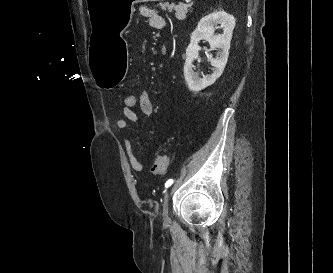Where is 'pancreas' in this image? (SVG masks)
<instances>
[{"label":"pancreas","mask_w":333,"mask_h":273,"mask_svg":"<svg viewBox=\"0 0 333 273\" xmlns=\"http://www.w3.org/2000/svg\"><path fill=\"white\" fill-rule=\"evenodd\" d=\"M160 7L163 10H166V8H168V10L170 12H172V10L176 11V18L178 20H184L186 18V14L188 13V8L191 7V5L189 4H183V3H179L178 5L175 4H171L169 5L168 3H164V4H160Z\"/></svg>","instance_id":"cf45deb5"}]
</instances>
